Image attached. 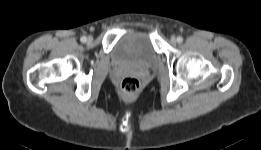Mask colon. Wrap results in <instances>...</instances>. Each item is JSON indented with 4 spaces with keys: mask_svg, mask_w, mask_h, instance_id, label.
I'll return each mask as SVG.
<instances>
[{
    "mask_svg": "<svg viewBox=\"0 0 261 150\" xmlns=\"http://www.w3.org/2000/svg\"><path fill=\"white\" fill-rule=\"evenodd\" d=\"M141 91L140 81L134 76L125 77L120 84V93L123 99L132 100L136 98Z\"/></svg>",
    "mask_w": 261,
    "mask_h": 150,
    "instance_id": "obj_1",
    "label": "colon"
}]
</instances>
